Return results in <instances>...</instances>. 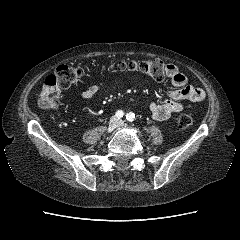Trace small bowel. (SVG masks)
<instances>
[{"mask_svg":"<svg viewBox=\"0 0 240 240\" xmlns=\"http://www.w3.org/2000/svg\"><path fill=\"white\" fill-rule=\"evenodd\" d=\"M167 76L177 89L169 94V99L150 104V112L156 120H166L175 113L181 112L205 98L204 91L187 83V78L173 64H167ZM102 88V84H95L79 93L83 101L92 99Z\"/></svg>","mask_w":240,"mask_h":240,"instance_id":"small-bowel-1","label":"small bowel"}]
</instances>
